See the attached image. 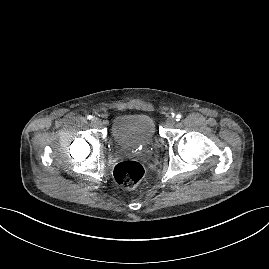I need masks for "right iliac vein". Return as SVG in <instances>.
I'll return each mask as SVG.
<instances>
[{
    "instance_id": "63e3f726",
    "label": "right iliac vein",
    "mask_w": 269,
    "mask_h": 269,
    "mask_svg": "<svg viewBox=\"0 0 269 269\" xmlns=\"http://www.w3.org/2000/svg\"><path fill=\"white\" fill-rule=\"evenodd\" d=\"M92 123H93L95 126H98V125L101 124V120H100L99 118H93Z\"/></svg>"
}]
</instances>
